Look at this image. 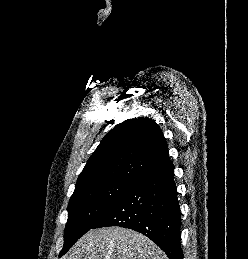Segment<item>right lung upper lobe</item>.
<instances>
[{"label":"right lung upper lobe","instance_id":"obj_1","mask_svg":"<svg viewBox=\"0 0 248 259\" xmlns=\"http://www.w3.org/2000/svg\"><path fill=\"white\" fill-rule=\"evenodd\" d=\"M172 164L159 126L150 119H130L100 142L78 177L76 188L107 181L134 183Z\"/></svg>","mask_w":248,"mask_h":259}]
</instances>
